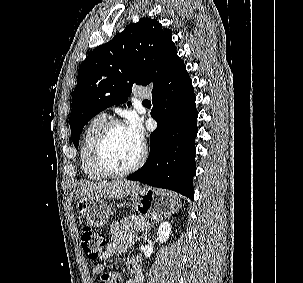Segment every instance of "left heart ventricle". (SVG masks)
<instances>
[{
    "mask_svg": "<svg viewBox=\"0 0 303 283\" xmlns=\"http://www.w3.org/2000/svg\"><path fill=\"white\" fill-rule=\"evenodd\" d=\"M140 150L141 146L135 143L125 126L116 127L108 138L106 157L113 168L124 169L135 162Z\"/></svg>",
    "mask_w": 303,
    "mask_h": 283,
    "instance_id": "1",
    "label": "left heart ventricle"
}]
</instances>
